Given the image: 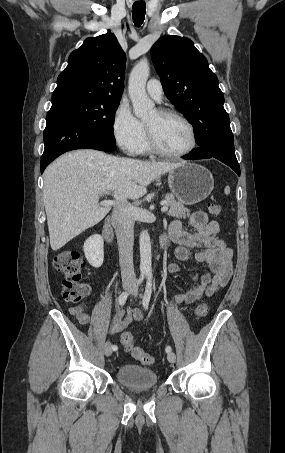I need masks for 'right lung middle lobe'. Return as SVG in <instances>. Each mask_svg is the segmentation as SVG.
I'll list each match as a JSON object with an SVG mask.
<instances>
[{
  "label": "right lung middle lobe",
  "mask_w": 285,
  "mask_h": 453,
  "mask_svg": "<svg viewBox=\"0 0 285 453\" xmlns=\"http://www.w3.org/2000/svg\"><path fill=\"white\" fill-rule=\"evenodd\" d=\"M120 99L71 95L52 100V107L67 111L95 135L115 143L113 123Z\"/></svg>",
  "instance_id": "dd1d6c3e"
}]
</instances>
